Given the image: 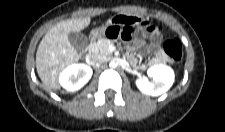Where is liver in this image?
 Returning a JSON list of instances; mask_svg holds the SVG:
<instances>
[{
	"label": "liver",
	"instance_id": "liver-1",
	"mask_svg": "<svg viewBox=\"0 0 225 132\" xmlns=\"http://www.w3.org/2000/svg\"><path fill=\"white\" fill-rule=\"evenodd\" d=\"M90 24V17L61 21L47 31L36 53L37 73L49 90H59L61 71L79 60L68 39L70 32H80Z\"/></svg>",
	"mask_w": 225,
	"mask_h": 132
}]
</instances>
